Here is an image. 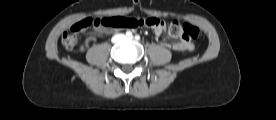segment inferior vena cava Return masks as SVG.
Returning a JSON list of instances; mask_svg holds the SVG:
<instances>
[{"mask_svg": "<svg viewBox=\"0 0 276 120\" xmlns=\"http://www.w3.org/2000/svg\"><path fill=\"white\" fill-rule=\"evenodd\" d=\"M119 40H120V38L116 39V41H115V42H117V41H119Z\"/></svg>", "mask_w": 276, "mask_h": 120, "instance_id": "602c4592", "label": "inferior vena cava"}]
</instances>
